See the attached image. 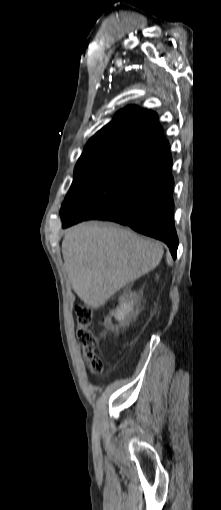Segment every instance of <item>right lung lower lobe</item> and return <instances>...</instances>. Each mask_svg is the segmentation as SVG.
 Segmentation results:
<instances>
[{
	"mask_svg": "<svg viewBox=\"0 0 221 510\" xmlns=\"http://www.w3.org/2000/svg\"><path fill=\"white\" fill-rule=\"evenodd\" d=\"M169 149L167 145L150 156L116 207L91 214L86 204H80L70 215L62 217L63 227L88 219L114 221L165 242L175 259L178 238L174 227V180Z\"/></svg>",
	"mask_w": 221,
	"mask_h": 510,
	"instance_id": "right-lung-lower-lobe-1",
	"label": "right lung lower lobe"
}]
</instances>
